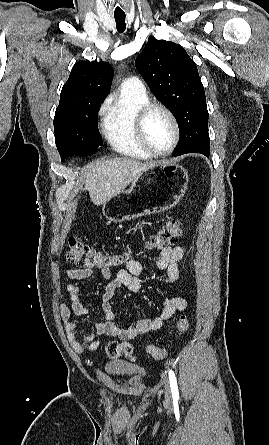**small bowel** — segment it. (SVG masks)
Segmentation results:
<instances>
[{
	"instance_id": "small-bowel-1",
	"label": "small bowel",
	"mask_w": 269,
	"mask_h": 445,
	"mask_svg": "<svg viewBox=\"0 0 269 445\" xmlns=\"http://www.w3.org/2000/svg\"><path fill=\"white\" fill-rule=\"evenodd\" d=\"M184 256V249L181 246L165 247L160 253L155 264V270L164 273V282L172 284L179 278V262ZM148 272V268L133 259H128L123 268L111 279L110 270H100L101 278L106 281L102 295L103 319L94 323V332L80 336L77 333L80 325L76 321H71V314L77 316H88L89 310L81 299L83 288L79 285L69 283L66 291L71 300V305H61V318L64 323L67 339L77 353L93 351L98 348L99 342L96 335H107L118 337L121 340H128L137 335L145 334L162 327L165 321L170 319L176 312L183 311L187 307V300L184 297L173 296L165 298L161 302V311L151 317L138 320L132 325H118L115 313L112 309V300L120 288H126L130 292H139L142 288L140 277ZM94 269L66 270V275L71 280H83L91 277Z\"/></svg>"
}]
</instances>
